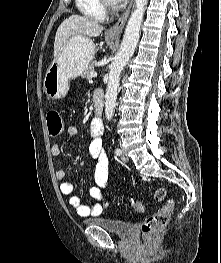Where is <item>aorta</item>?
<instances>
[{
	"label": "aorta",
	"instance_id": "1",
	"mask_svg": "<svg viewBox=\"0 0 221 263\" xmlns=\"http://www.w3.org/2000/svg\"><path fill=\"white\" fill-rule=\"evenodd\" d=\"M147 2L148 0H135V8L126 25L120 49L110 66L105 95V116L107 120H111L114 115L120 75L125 65L134 54L138 44L140 27Z\"/></svg>",
	"mask_w": 221,
	"mask_h": 263
}]
</instances>
